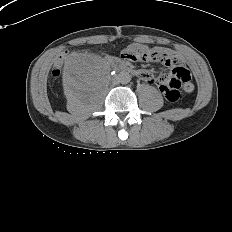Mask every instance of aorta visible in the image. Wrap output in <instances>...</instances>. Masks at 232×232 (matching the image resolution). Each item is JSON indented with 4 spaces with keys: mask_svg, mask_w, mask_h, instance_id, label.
Wrapping results in <instances>:
<instances>
[{
    "mask_svg": "<svg viewBox=\"0 0 232 232\" xmlns=\"http://www.w3.org/2000/svg\"><path fill=\"white\" fill-rule=\"evenodd\" d=\"M118 78H119V81H120L122 84H127V83H129L130 80H131L129 73H127V72H121V73L118 75Z\"/></svg>",
    "mask_w": 232,
    "mask_h": 232,
    "instance_id": "1",
    "label": "aorta"
}]
</instances>
